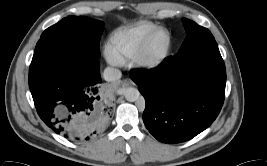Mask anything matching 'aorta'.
Masks as SVG:
<instances>
[{
	"label": "aorta",
	"instance_id": "obj_1",
	"mask_svg": "<svg viewBox=\"0 0 267 166\" xmlns=\"http://www.w3.org/2000/svg\"><path fill=\"white\" fill-rule=\"evenodd\" d=\"M124 96L127 101L135 102L140 98V92L134 87H128L124 92Z\"/></svg>",
	"mask_w": 267,
	"mask_h": 166
}]
</instances>
